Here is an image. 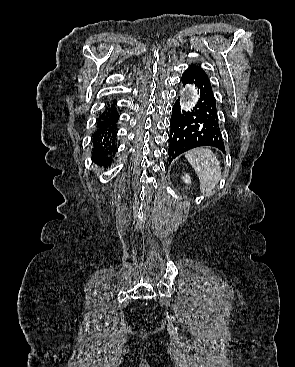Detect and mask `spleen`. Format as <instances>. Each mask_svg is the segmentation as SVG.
Segmentation results:
<instances>
[{"label":"spleen","mask_w":295,"mask_h":367,"mask_svg":"<svg viewBox=\"0 0 295 367\" xmlns=\"http://www.w3.org/2000/svg\"><path fill=\"white\" fill-rule=\"evenodd\" d=\"M194 168L203 194H210L221 178L220 163L208 148H195L185 155Z\"/></svg>","instance_id":"1"}]
</instances>
